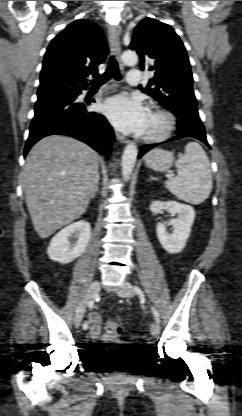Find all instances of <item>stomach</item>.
<instances>
[{"instance_id": "obj_1", "label": "stomach", "mask_w": 242, "mask_h": 416, "mask_svg": "<svg viewBox=\"0 0 242 416\" xmlns=\"http://www.w3.org/2000/svg\"><path fill=\"white\" fill-rule=\"evenodd\" d=\"M144 160L149 168L163 172L172 166L174 154L167 150L155 148L146 154Z\"/></svg>"}]
</instances>
